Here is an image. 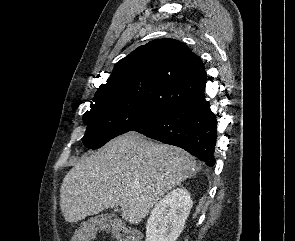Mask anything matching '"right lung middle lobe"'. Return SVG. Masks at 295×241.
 I'll use <instances>...</instances> for the list:
<instances>
[{
  "label": "right lung middle lobe",
  "mask_w": 295,
  "mask_h": 241,
  "mask_svg": "<svg viewBox=\"0 0 295 241\" xmlns=\"http://www.w3.org/2000/svg\"><path fill=\"white\" fill-rule=\"evenodd\" d=\"M93 102L83 115L87 130L82 140L90 149L102 147L112 138L142 126L164 111L112 94L95 95Z\"/></svg>",
  "instance_id": "dd1d6c3e"
}]
</instances>
